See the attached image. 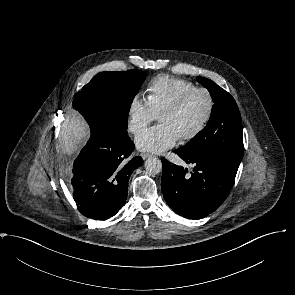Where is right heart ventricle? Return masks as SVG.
<instances>
[{
	"mask_svg": "<svg viewBox=\"0 0 295 295\" xmlns=\"http://www.w3.org/2000/svg\"><path fill=\"white\" fill-rule=\"evenodd\" d=\"M194 86L192 81L184 78L158 75L148 84L147 99L158 116L166 107Z\"/></svg>",
	"mask_w": 295,
	"mask_h": 295,
	"instance_id": "e07e8e85",
	"label": "right heart ventricle"
}]
</instances>
